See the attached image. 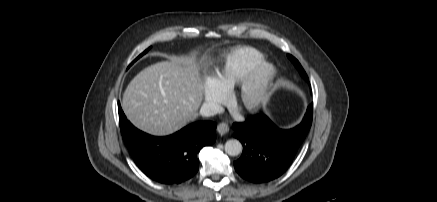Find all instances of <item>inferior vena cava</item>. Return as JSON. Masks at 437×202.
<instances>
[{
	"label": "inferior vena cava",
	"instance_id": "602c4592",
	"mask_svg": "<svg viewBox=\"0 0 437 202\" xmlns=\"http://www.w3.org/2000/svg\"><path fill=\"white\" fill-rule=\"evenodd\" d=\"M222 110V107L216 103L213 102H205L201 106L200 114L205 117L214 116L218 113H220Z\"/></svg>",
	"mask_w": 437,
	"mask_h": 202
}]
</instances>
